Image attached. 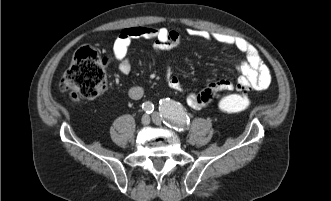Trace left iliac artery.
I'll return each mask as SVG.
<instances>
[{
    "instance_id": "1",
    "label": "left iliac artery",
    "mask_w": 331,
    "mask_h": 201,
    "mask_svg": "<svg viewBox=\"0 0 331 201\" xmlns=\"http://www.w3.org/2000/svg\"><path fill=\"white\" fill-rule=\"evenodd\" d=\"M159 110L164 122L175 130L183 132L188 127L190 118L180 103L166 98L160 100Z\"/></svg>"
}]
</instances>
